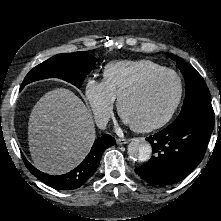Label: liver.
<instances>
[{
	"mask_svg": "<svg viewBox=\"0 0 221 221\" xmlns=\"http://www.w3.org/2000/svg\"><path fill=\"white\" fill-rule=\"evenodd\" d=\"M91 112L72 91L47 92L33 107L28 123L29 150L34 166L50 175L74 169L95 141Z\"/></svg>",
	"mask_w": 221,
	"mask_h": 221,
	"instance_id": "obj_1",
	"label": "liver"
}]
</instances>
